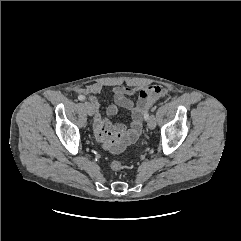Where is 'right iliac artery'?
<instances>
[{"instance_id":"right-iliac-artery-1","label":"right iliac artery","mask_w":241,"mask_h":241,"mask_svg":"<svg viewBox=\"0 0 241 241\" xmlns=\"http://www.w3.org/2000/svg\"><path fill=\"white\" fill-rule=\"evenodd\" d=\"M78 99H79L80 101H83V100H85V97L82 96V95H80V96H78Z\"/></svg>"}]
</instances>
